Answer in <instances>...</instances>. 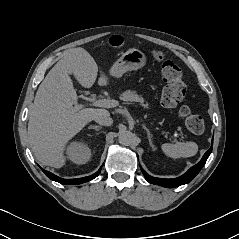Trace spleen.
Instances as JSON below:
<instances>
[{
	"instance_id": "spleen-1",
	"label": "spleen",
	"mask_w": 239,
	"mask_h": 239,
	"mask_svg": "<svg viewBox=\"0 0 239 239\" xmlns=\"http://www.w3.org/2000/svg\"><path fill=\"white\" fill-rule=\"evenodd\" d=\"M164 154L171 158L191 157L198 152V145L195 142H176L175 144L165 143L161 146Z\"/></svg>"
}]
</instances>
